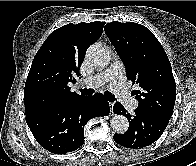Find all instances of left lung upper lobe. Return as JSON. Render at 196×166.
Here are the masks:
<instances>
[{"instance_id":"5c2ea615","label":"left lung upper lobe","mask_w":196,"mask_h":166,"mask_svg":"<svg viewBox=\"0 0 196 166\" xmlns=\"http://www.w3.org/2000/svg\"><path fill=\"white\" fill-rule=\"evenodd\" d=\"M105 31L126 66L138 109L171 118L176 84L169 59L154 34L145 26L127 22L107 23Z\"/></svg>"}]
</instances>
